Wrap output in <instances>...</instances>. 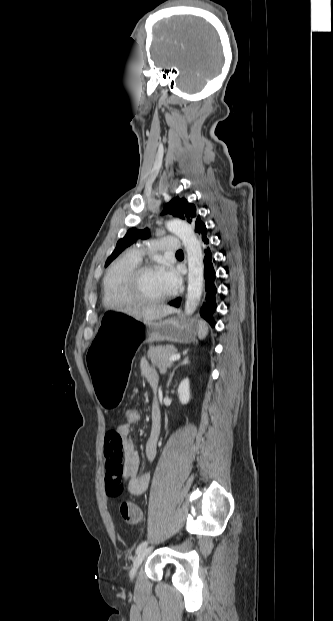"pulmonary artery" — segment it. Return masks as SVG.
<instances>
[{
	"instance_id": "pulmonary-artery-1",
	"label": "pulmonary artery",
	"mask_w": 333,
	"mask_h": 621,
	"mask_svg": "<svg viewBox=\"0 0 333 621\" xmlns=\"http://www.w3.org/2000/svg\"><path fill=\"white\" fill-rule=\"evenodd\" d=\"M156 245L157 247L152 248V250H155L158 248L161 251L170 252V253L177 252L182 247L180 239L174 236L163 237L157 242ZM143 253H144L143 250L139 248H135L130 251V255L138 261L142 258Z\"/></svg>"
}]
</instances>
